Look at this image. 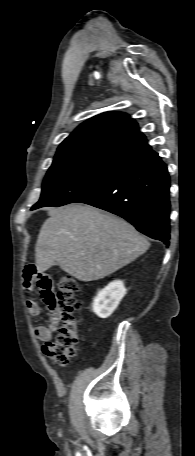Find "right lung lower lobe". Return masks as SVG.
Masks as SVG:
<instances>
[{
    "mask_svg": "<svg viewBox=\"0 0 195 456\" xmlns=\"http://www.w3.org/2000/svg\"><path fill=\"white\" fill-rule=\"evenodd\" d=\"M169 188L167 166L153 153L76 202L119 215L143 234L169 245Z\"/></svg>",
    "mask_w": 195,
    "mask_h": 456,
    "instance_id": "right-lung-lower-lobe-1",
    "label": "right lung lower lobe"
}]
</instances>
